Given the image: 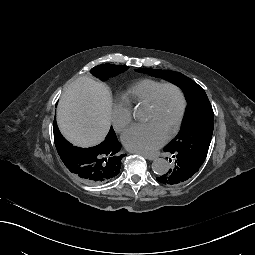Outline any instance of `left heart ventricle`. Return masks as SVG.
<instances>
[{
  "label": "left heart ventricle",
  "instance_id": "b2bd125f",
  "mask_svg": "<svg viewBox=\"0 0 255 255\" xmlns=\"http://www.w3.org/2000/svg\"><path fill=\"white\" fill-rule=\"evenodd\" d=\"M179 110V97L172 88H165L159 94L154 108H146L144 119L158 132L167 137L175 127V121Z\"/></svg>",
  "mask_w": 255,
  "mask_h": 255
}]
</instances>
